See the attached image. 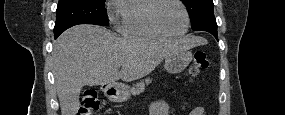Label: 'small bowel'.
<instances>
[{"label": "small bowel", "mask_w": 285, "mask_h": 115, "mask_svg": "<svg viewBox=\"0 0 285 115\" xmlns=\"http://www.w3.org/2000/svg\"><path fill=\"white\" fill-rule=\"evenodd\" d=\"M151 115H167L168 114V104L164 98H157L153 100L150 106ZM190 115H205V111L202 107H196L191 112Z\"/></svg>", "instance_id": "1"}]
</instances>
